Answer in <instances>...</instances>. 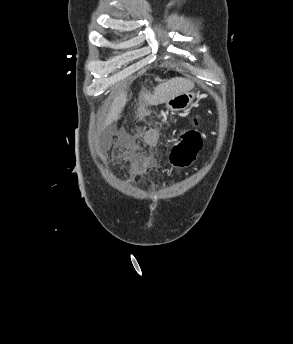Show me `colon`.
I'll list each match as a JSON object with an SVG mask.
<instances>
[{"label": "colon", "mask_w": 293, "mask_h": 344, "mask_svg": "<svg viewBox=\"0 0 293 344\" xmlns=\"http://www.w3.org/2000/svg\"><path fill=\"white\" fill-rule=\"evenodd\" d=\"M199 125L198 117L194 118L191 123V128L183 130L178 136L176 146L173 151V162L178 166H185L191 163L197 152L202 147V139L200 135L194 130ZM119 138H128L130 133L128 131H122L117 135ZM136 167L141 166V161L138 160Z\"/></svg>", "instance_id": "obj_1"}]
</instances>
